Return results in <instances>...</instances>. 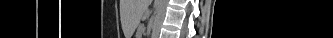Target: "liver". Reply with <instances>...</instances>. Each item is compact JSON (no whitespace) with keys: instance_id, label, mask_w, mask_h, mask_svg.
<instances>
[{"instance_id":"6515ba94","label":"liver","mask_w":333,"mask_h":38,"mask_svg":"<svg viewBox=\"0 0 333 38\" xmlns=\"http://www.w3.org/2000/svg\"><path fill=\"white\" fill-rule=\"evenodd\" d=\"M151 3V0H135L133 1V24L137 25L146 10Z\"/></svg>"}]
</instances>
